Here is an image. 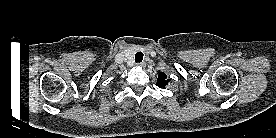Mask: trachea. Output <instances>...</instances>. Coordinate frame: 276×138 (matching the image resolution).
<instances>
[{"instance_id":"3493384b","label":"trachea","mask_w":276,"mask_h":138,"mask_svg":"<svg viewBox=\"0 0 276 138\" xmlns=\"http://www.w3.org/2000/svg\"><path fill=\"white\" fill-rule=\"evenodd\" d=\"M143 56H144V55H143V53H142L141 51L137 52V53L135 54V62H136V63L142 62Z\"/></svg>"}]
</instances>
